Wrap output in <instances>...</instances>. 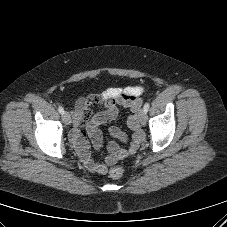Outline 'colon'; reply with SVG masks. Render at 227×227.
Segmentation results:
<instances>
[{
  "mask_svg": "<svg viewBox=\"0 0 227 227\" xmlns=\"http://www.w3.org/2000/svg\"><path fill=\"white\" fill-rule=\"evenodd\" d=\"M109 174H110L111 178H113V179H119L124 174V168L122 166L113 167L110 170V173Z\"/></svg>",
  "mask_w": 227,
  "mask_h": 227,
  "instance_id": "obj_1",
  "label": "colon"
}]
</instances>
